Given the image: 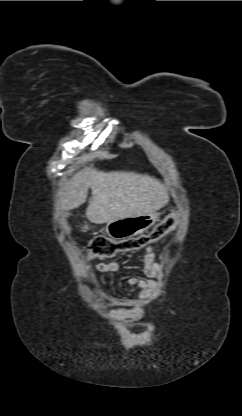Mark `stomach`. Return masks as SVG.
<instances>
[{
	"label": "stomach",
	"mask_w": 242,
	"mask_h": 416,
	"mask_svg": "<svg viewBox=\"0 0 242 416\" xmlns=\"http://www.w3.org/2000/svg\"><path fill=\"white\" fill-rule=\"evenodd\" d=\"M159 213L126 217L108 222L105 231L115 240L127 239L144 233L159 220Z\"/></svg>",
	"instance_id": "1"
}]
</instances>
